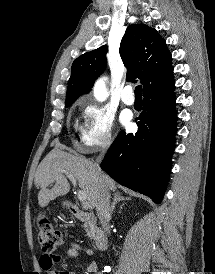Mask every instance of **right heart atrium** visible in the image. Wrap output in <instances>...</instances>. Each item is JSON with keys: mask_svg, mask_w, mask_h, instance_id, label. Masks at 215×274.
Here are the masks:
<instances>
[{"mask_svg": "<svg viewBox=\"0 0 215 274\" xmlns=\"http://www.w3.org/2000/svg\"><path fill=\"white\" fill-rule=\"evenodd\" d=\"M83 122L77 145L82 152L108 148L114 139V119L104 106L91 100L81 102Z\"/></svg>", "mask_w": 215, "mask_h": 274, "instance_id": "d8ad5b80", "label": "right heart atrium"}]
</instances>
